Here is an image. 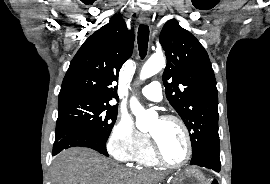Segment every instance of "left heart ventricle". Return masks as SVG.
Returning <instances> with one entry per match:
<instances>
[{
	"instance_id": "b2bd125f",
	"label": "left heart ventricle",
	"mask_w": 270,
	"mask_h": 184,
	"mask_svg": "<svg viewBox=\"0 0 270 184\" xmlns=\"http://www.w3.org/2000/svg\"><path fill=\"white\" fill-rule=\"evenodd\" d=\"M149 133L157 140L166 161L178 164L185 158L186 140L178 124L158 119L152 123Z\"/></svg>"
}]
</instances>
